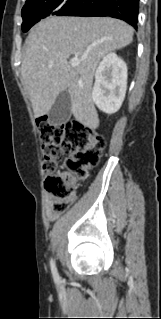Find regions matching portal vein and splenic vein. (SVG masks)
I'll list each match as a JSON object with an SVG mask.
<instances>
[{
  "instance_id": "1",
  "label": "portal vein and splenic vein",
  "mask_w": 161,
  "mask_h": 319,
  "mask_svg": "<svg viewBox=\"0 0 161 319\" xmlns=\"http://www.w3.org/2000/svg\"><path fill=\"white\" fill-rule=\"evenodd\" d=\"M80 62H81V59L75 57V58H72V59L70 60V65H71L72 67H76V66H78V65L80 64Z\"/></svg>"
}]
</instances>
